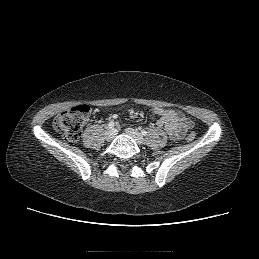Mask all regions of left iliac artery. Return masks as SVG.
Instances as JSON below:
<instances>
[{"label":"left iliac artery","mask_w":259,"mask_h":259,"mask_svg":"<svg viewBox=\"0 0 259 259\" xmlns=\"http://www.w3.org/2000/svg\"><path fill=\"white\" fill-rule=\"evenodd\" d=\"M141 134H142L143 136H146V135H147V131L142 130V131H141Z\"/></svg>","instance_id":"obj_1"}]
</instances>
